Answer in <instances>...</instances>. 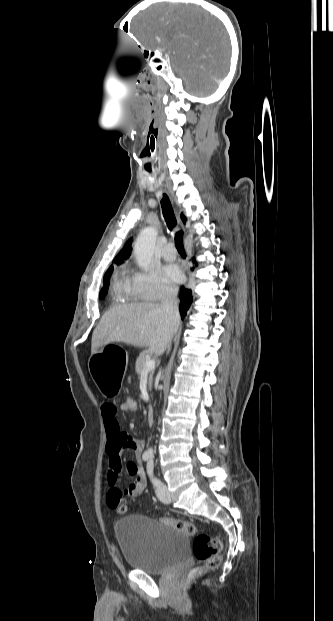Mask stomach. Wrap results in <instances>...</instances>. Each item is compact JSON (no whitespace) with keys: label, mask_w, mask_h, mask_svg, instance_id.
Masks as SVG:
<instances>
[{"label":"stomach","mask_w":333,"mask_h":621,"mask_svg":"<svg viewBox=\"0 0 333 621\" xmlns=\"http://www.w3.org/2000/svg\"><path fill=\"white\" fill-rule=\"evenodd\" d=\"M90 363L91 378L100 395L108 400H115L122 389L124 371L128 365V356L124 344L115 340L106 342L102 350H94Z\"/></svg>","instance_id":"0dacf381"}]
</instances>
